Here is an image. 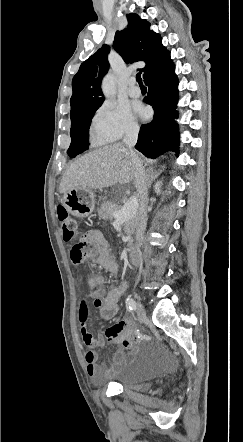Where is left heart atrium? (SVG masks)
Listing matches in <instances>:
<instances>
[{"label": "left heart atrium", "mask_w": 243, "mask_h": 442, "mask_svg": "<svg viewBox=\"0 0 243 442\" xmlns=\"http://www.w3.org/2000/svg\"><path fill=\"white\" fill-rule=\"evenodd\" d=\"M138 113L143 116L145 114V110L143 108H138Z\"/></svg>", "instance_id": "39dd6f15"}]
</instances>
